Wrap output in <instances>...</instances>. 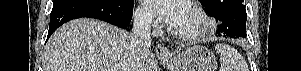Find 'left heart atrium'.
I'll return each mask as SVG.
<instances>
[{
  "mask_svg": "<svg viewBox=\"0 0 301 71\" xmlns=\"http://www.w3.org/2000/svg\"><path fill=\"white\" fill-rule=\"evenodd\" d=\"M144 5L175 30L180 24L186 7L182 0H144Z\"/></svg>",
  "mask_w": 301,
  "mask_h": 71,
  "instance_id": "1",
  "label": "left heart atrium"
}]
</instances>
